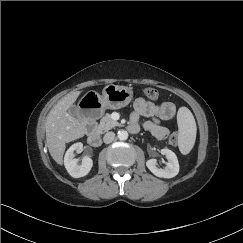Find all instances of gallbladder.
Wrapping results in <instances>:
<instances>
[{
	"label": "gallbladder",
	"instance_id": "1",
	"mask_svg": "<svg viewBox=\"0 0 243 243\" xmlns=\"http://www.w3.org/2000/svg\"><path fill=\"white\" fill-rule=\"evenodd\" d=\"M68 113L71 114L72 116H76L78 114V108L75 105H72L68 109Z\"/></svg>",
	"mask_w": 243,
	"mask_h": 243
}]
</instances>
